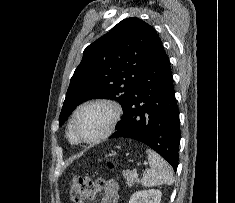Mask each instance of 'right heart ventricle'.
<instances>
[{
  "label": "right heart ventricle",
  "instance_id": "1",
  "mask_svg": "<svg viewBox=\"0 0 235 203\" xmlns=\"http://www.w3.org/2000/svg\"><path fill=\"white\" fill-rule=\"evenodd\" d=\"M68 138H69L71 143H73V144H77L78 143V141L75 139V137L72 134L70 126H69V129H68Z\"/></svg>",
  "mask_w": 235,
  "mask_h": 203
}]
</instances>
